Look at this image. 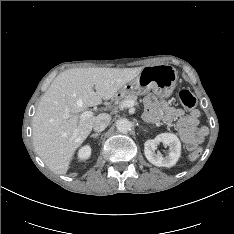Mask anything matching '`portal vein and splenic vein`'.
Wrapping results in <instances>:
<instances>
[{"label":"portal vein and splenic vein","mask_w":234,"mask_h":234,"mask_svg":"<svg viewBox=\"0 0 234 234\" xmlns=\"http://www.w3.org/2000/svg\"><path fill=\"white\" fill-rule=\"evenodd\" d=\"M135 105H137L135 101H133V100H126V101L121 102L120 105H119V107L123 109V108L133 107V106H135ZM93 114H94V113H93L92 111H84V112L80 115V117H81L82 119H86V118L92 117Z\"/></svg>","instance_id":"portal-vein-and-splenic-vein-1"}]
</instances>
